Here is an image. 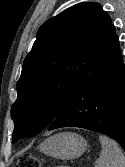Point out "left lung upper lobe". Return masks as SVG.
Instances as JSON below:
<instances>
[{
  "mask_svg": "<svg viewBox=\"0 0 125 167\" xmlns=\"http://www.w3.org/2000/svg\"><path fill=\"white\" fill-rule=\"evenodd\" d=\"M110 27V16L96 2L76 4L41 25L17 82L12 143L54 121L87 76Z\"/></svg>",
  "mask_w": 125,
  "mask_h": 167,
  "instance_id": "obj_1",
  "label": "left lung upper lobe"
}]
</instances>
